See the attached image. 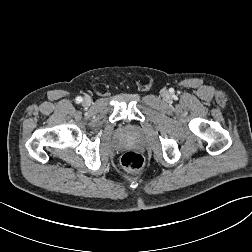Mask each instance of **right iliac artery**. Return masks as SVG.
<instances>
[{
  "label": "right iliac artery",
  "instance_id": "82829eb1",
  "mask_svg": "<svg viewBox=\"0 0 252 252\" xmlns=\"http://www.w3.org/2000/svg\"><path fill=\"white\" fill-rule=\"evenodd\" d=\"M76 102H77V103L82 102V97L78 96V97L76 98Z\"/></svg>",
  "mask_w": 252,
  "mask_h": 252
}]
</instances>
